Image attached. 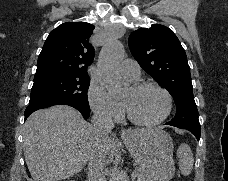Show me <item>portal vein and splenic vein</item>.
<instances>
[{"label":"portal vein and splenic vein","instance_id":"1","mask_svg":"<svg viewBox=\"0 0 228 181\" xmlns=\"http://www.w3.org/2000/svg\"><path fill=\"white\" fill-rule=\"evenodd\" d=\"M134 174H137L138 173V169L135 167L132 171Z\"/></svg>","mask_w":228,"mask_h":181}]
</instances>
